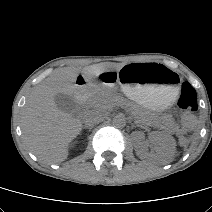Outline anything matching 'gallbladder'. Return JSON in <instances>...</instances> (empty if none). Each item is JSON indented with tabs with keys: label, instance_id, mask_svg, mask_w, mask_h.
I'll use <instances>...</instances> for the list:
<instances>
[{
	"label": "gallbladder",
	"instance_id": "gallbladder-1",
	"mask_svg": "<svg viewBox=\"0 0 212 212\" xmlns=\"http://www.w3.org/2000/svg\"><path fill=\"white\" fill-rule=\"evenodd\" d=\"M54 100L58 109L67 114H74L77 103L73 95L58 93L55 95Z\"/></svg>",
	"mask_w": 212,
	"mask_h": 212
}]
</instances>
